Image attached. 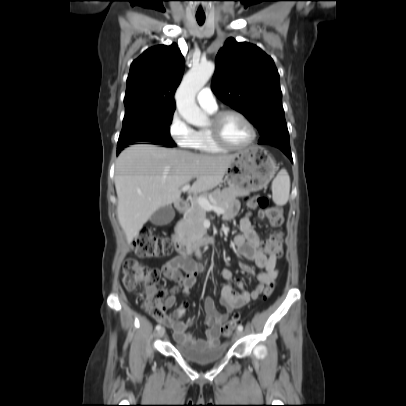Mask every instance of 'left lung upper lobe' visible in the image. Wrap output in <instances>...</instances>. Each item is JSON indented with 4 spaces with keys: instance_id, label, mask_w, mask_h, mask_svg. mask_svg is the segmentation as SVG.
Listing matches in <instances>:
<instances>
[{
    "instance_id": "left-lung-upper-lobe-1",
    "label": "left lung upper lobe",
    "mask_w": 406,
    "mask_h": 406,
    "mask_svg": "<svg viewBox=\"0 0 406 406\" xmlns=\"http://www.w3.org/2000/svg\"><path fill=\"white\" fill-rule=\"evenodd\" d=\"M211 89L258 129L259 144L289 145L279 74L259 47L227 39L216 56Z\"/></svg>"
}]
</instances>
